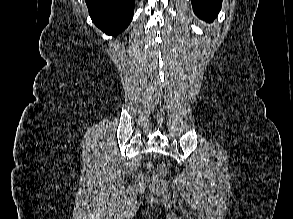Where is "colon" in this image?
<instances>
[{"label": "colon", "mask_w": 293, "mask_h": 219, "mask_svg": "<svg viewBox=\"0 0 293 219\" xmlns=\"http://www.w3.org/2000/svg\"><path fill=\"white\" fill-rule=\"evenodd\" d=\"M167 168L165 165H159L155 171V177H162L166 174ZM147 181V176L145 174H139L136 178V187L143 189Z\"/></svg>", "instance_id": "colon-1"}]
</instances>
